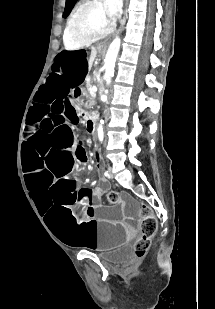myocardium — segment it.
I'll list each match as a JSON object with an SVG mask.
<instances>
[{
    "label": "myocardium",
    "instance_id": "obj_1",
    "mask_svg": "<svg viewBox=\"0 0 215 309\" xmlns=\"http://www.w3.org/2000/svg\"><path fill=\"white\" fill-rule=\"evenodd\" d=\"M91 8H93L92 5H85L76 9L73 12L74 18L69 19L65 27V29L68 30L66 33L69 35V41H72L76 48L90 47L93 45V43H98L99 38H107V34L114 33L116 27V22L114 19H109L105 24V27H93V30L89 31V34L85 31H82V29L86 27L85 25L87 24V21L83 20L84 16L80 14ZM79 30L81 31L78 32Z\"/></svg>",
    "mask_w": 215,
    "mask_h": 309
}]
</instances>
